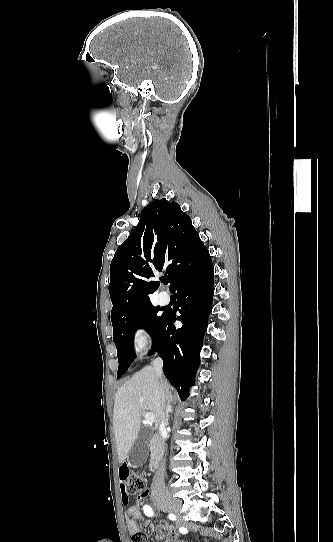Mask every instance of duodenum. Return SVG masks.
<instances>
[{"label": "duodenum", "instance_id": "obj_1", "mask_svg": "<svg viewBox=\"0 0 333 542\" xmlns=\"http://www.w3.org/2000/svg\"><path fill=\"white\" fill-rule=\"evenodd\" d=\"M150 445H151L150 468L152 470H157V468L159 467L164 457V452H165L164 445L157 437H153L151 439Z\"/></svg>", "mask_w": 333, "mask_h": 542}]
</instances>
